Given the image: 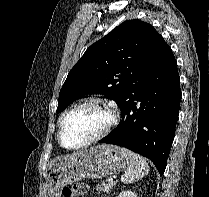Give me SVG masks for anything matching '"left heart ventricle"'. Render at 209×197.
Here are the masks:
<instances>
[{
	"label": "left heart ventricle",
	"mask_w": 209,
	"mask_h": 197,
	"mask_svg": "<svg viewBox=\"0 0 209 197\" xmlns=\"http://www.w3.org/2000/svg\"><path fill=\"white\" fill-rule=\"evenodd\" d=\"M108 120V112L103 108L93 105L81 107L66 119L62 141L66 146H77L98 134Z\"/></svg>",
	"instance_id": "left-heart-ventricle-1"
}]
</instances>
